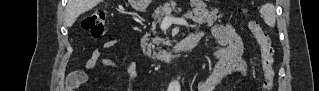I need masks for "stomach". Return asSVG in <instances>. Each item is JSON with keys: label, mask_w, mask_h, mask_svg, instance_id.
Wrapping results in <instances>:
<instances>
[{"label": "stomach", "mask_w": 319, "mask_h": 91, "mask_svg": "<svg viewBox=\"0 0 319 91\" xmlns=\"http://www.w3.org/2000/svg\"><path fill=\"white\" fill-rule=\"evenodd\" d=\"M135 2H138V1H135ZM148 2H149V0H142V5H147L148 4ZM193 2H195V1H193ZM136 5H139V3H136Z\"/></svg>", "instance_id": "obj_1"}]
</instances>
